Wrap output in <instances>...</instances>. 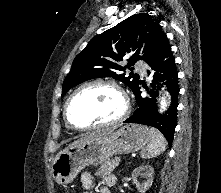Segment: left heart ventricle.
Instances as JSON below:
<instances>
[{
    "label": "left heart ventricle",
    "mask_w": 221,
    "mask_h": 193,
    "mask_svg": "<svg viewBox=\"0 0 221 193\" xmlns=\"http://www.w3.org/2000/svg\"><path fill=\"white\" fill-rule=\"evenodd\" d=\"M123 101L110 86L93 85L81 90L72 100L69 117L78 126L111 121L119 116Z\"/></svg>",
    "instance_id": "b2bd125f"
}]
</instances>
